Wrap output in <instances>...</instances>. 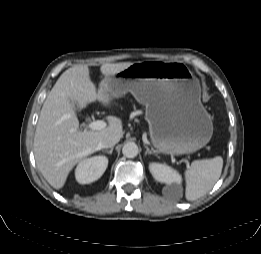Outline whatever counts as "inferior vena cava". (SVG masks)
<instances>
[{"mask_svg":"<svg viewBox=\"0 0 261 254\" xmlns=\"http://www.w3.org/2000/svg\"><path fill=\"white\" fill-rule=\"evenodd\" d=\"M120 140L118 135H107L102 138L99 143L100 148H112L115 144H117Z\"/></svg>","mask_w":261,"mask_h":254,"instance_id":"inferior-vena-cava-1","label":"inferior vena cava"}]
</instances>
